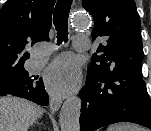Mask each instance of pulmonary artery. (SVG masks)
I'll use <instances>...</instances> for the list:
<instances>
[{
  "label": "pulmonary artery",
  "mask_w": 151,
  "mask_h": 131,
  "mask_svg": "<svg viewBox=\"0 0 151 131\" xmlns=\"http://www.w3.org/2000/svg\"><path fill=\"white\" fill-rule=\"evenodd\" d=\"M89 45H90V40L87 36H85V35L76 36L75 47L77 49L86 50V49L89 48ZM50 53H51L50 49H43V50L37 51L36 54H35L36 60L34 62V67L36 69L41 68L45 64V62L48 59Z\"/></svg>",
  "instance_id": "obj_1"
}]
</instances>
